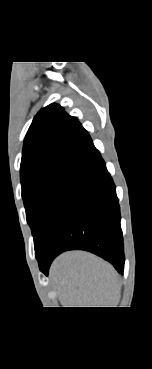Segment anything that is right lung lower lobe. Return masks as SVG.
<instances>
[{
  "label": "right lung lower lobe",
  "mask_w": 152,
  "mask_h": 369,
  "mask_svg": "<svg viewBox=\"0 0 152 369\" xmlns=\"http://www.w3.org/2000/svg\"><path fill=\"white\" fill-rule=\"evenodd\" d=\"M74 249L92 252L124 271L119 203L97 149L78 164L54 206L35 248L40 270L47 275L57 255Z\"/></svg>",
  "instance_id": "1"
}]
</instances>
